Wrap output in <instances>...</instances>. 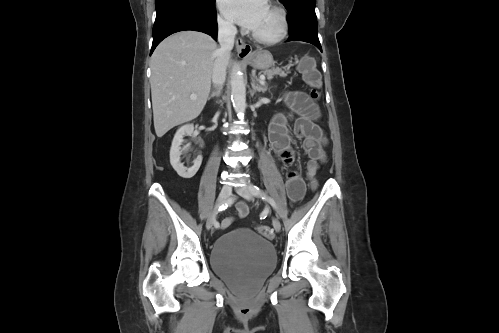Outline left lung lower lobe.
Masks as SVG:
<instances>
[{
  "label": "left lung lower lobe",
  "mask_w": 499,
  "mask_h": 333,
  "mask_svg": "<svg viewBox=\"0 0 499 333\" xmlns=\"http://www.w3.org/2000/svg\"><path fill=\"white\" fill-rule=\"evenodd\" d=\"M289 38L287 41H304L315 45L322 51L318 39L315 7L297 6L288 11Z\"/></svg>",
  "instance_id": "obj_1"
}]
</instances>
